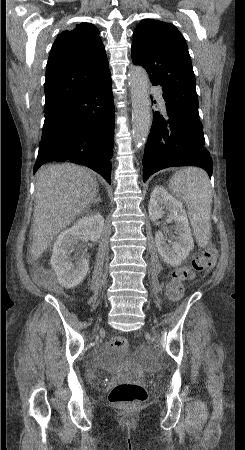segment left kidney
<instances>
[{
	"label": "left kidney",
	"instance_id": "5707ae66",
	"mask_svg": "<svg viewBox=\"0 0 245 450\" xmlns=\"http://www.w3.org/2000/svg\"><path fill=\"white\" fill-rule=\"evenodd\" d=\"M149 217L156 221L168 214V218L175 222L176 241L166 242L161 231L155 234V244L163 260L173 266H179L194 247L187 214L180 201L173 198L162 186H156L151 193L148 206Z\"/></svg>",
	"mask_w": 245,
	"mask_h": 450
}]
</instances>
